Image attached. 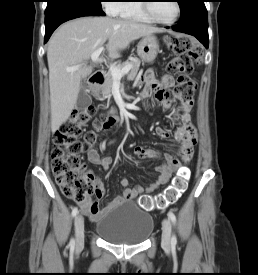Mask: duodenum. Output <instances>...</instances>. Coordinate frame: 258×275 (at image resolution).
Returning a JSON list of instances; mask_svg holds the SVG:
<instances>
[{
  "mask_svg": "<svg viewBox=\"0 0 258 275\" xmlns=\"http://www.w3.org/2000/svg\"><path fill=\"white\" fill-rule=\"evenodd\" d=\"M104 80L105 76L102 71H96L90 76L89 85L94 95L99 91V87L103 84Z\"/></svg>",
  "mask_w": 258,
  "mask_h": 275,
  "instance_id": "duodenum-1",
  "label": "duodenum"
}]
</instances>
